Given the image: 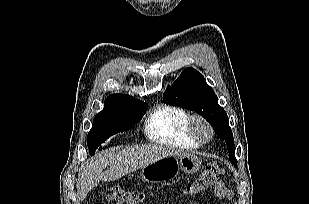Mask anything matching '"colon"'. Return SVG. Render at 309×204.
I'll list each match as a JSON object with an SVG mask.
<instances>
[{
	"mask_svg": "<svg viewBox=\"0 0 309 204\" xmlns=\"http://www.w3.org/2000/svg\"><path fill=\"white\" fill-rule=\"evenodd\" d=\"M224 176V170L216 162L210 163L205 167L200 176L189 185L187 193L198 195L221 183ZM143 196L142 192L136 190L112 187L107 195V200L109 204H138L143 199Z\"/></svg>",
	"mask_w": 309,
	"mask_h": 204,
	"instance_id": "obj_1",
	"label": "colon"
}]
</instances>
